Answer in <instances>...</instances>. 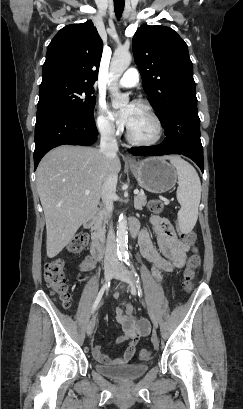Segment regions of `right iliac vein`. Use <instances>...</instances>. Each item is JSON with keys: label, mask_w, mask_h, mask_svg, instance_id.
<instances>
[{"label": "right iliac vein", "mask_w": 243, "mask_h": 409, "mask_svg": "<svg viewBox=\"0 0 243 409\" xmlns=\"http://www.w3.org/2000/svg\"><path fill=\"white\" fill-rule=\"evenodd\" d=\"M114 273V267H108L105 269L104 273V280L105 282H109L113 276ZM95 322H96V314H94L87 326V335L91 336L94 329H95Z\"/></svg>", "instance_id": "right-iliac-vein-1"}]
</instances>
